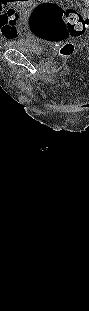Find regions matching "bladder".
Listing matches in <instances>:
<instances>
[{"label":"bladder","instance_id":"obj_1","mask_svg":"<svg viewBox=\"0 0 89 311\" xmlns=\"http://www.w3.org/2000/svg\"><path fill=\"white\" fill-rule=\"evenodd\" d=\"M11 48L29 55H40L44 51V46L28 35L22 40L11 43Z\"/></svg>","mask_w":89,"mask_h":311}]
</instances>
